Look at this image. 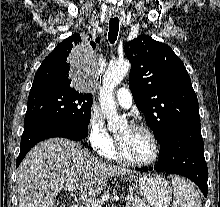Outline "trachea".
Returning a JSON list of instances; mask_svg holds the SVG:
<instances>
[{"label":"trachea","mask_w":220,"mask_h":207,"mask_svg":"<svg viewBox=\"0 0 220 207\" xmlns=\"http://www.w3.org/2000/svg\"><path fill=\"white\" fill-rule=\"evenodd\" d=\"M119 31V19L118 17L111 18L109 22L108 40L110 43H114L117 39Z\"/></svg>","instance_id":"obj_1"}]
</instances>
